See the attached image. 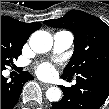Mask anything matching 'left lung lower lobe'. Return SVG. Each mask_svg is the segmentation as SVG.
<instances>
[{
	"mask_svg": "<svg viewBox=\"0 0 109 109\" xmlns=\"http://www.w3.org/2000/svg\"><path fill=\"white\" fill-rule=\"evenodd\" d=\"M76 81L70 88L61 86L64 96L52 103L53 109H99L109 96V70H86L76 77Z\"/></svg>",
	"mask_w": 109,
	"mask_h": 109,
	"instance_id": "1",
	"label": "left lung lower lobe"
}]
</instances>
